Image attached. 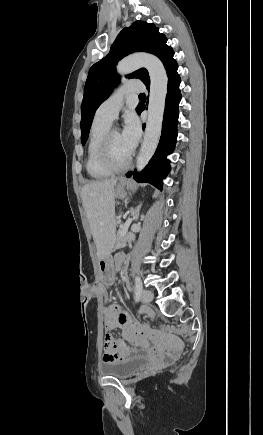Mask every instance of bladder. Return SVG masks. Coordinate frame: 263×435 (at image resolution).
<instances>
[{"mask_svg":"<svg viewBox=\"0 0 263 435\" xmlns=\"http://www.w3.org/2000/svg\"><path fill=\"white\" fill-rule=\"evenodd\" d=\"M147 364L146 357L132 355L124 360L103 364L100 372L104 376L126 379L143 369Z\"/></svg>","mask_w":263,"mask_h":435,"instance_id":"bladder-1","label":"bladder"}]
</instances>
